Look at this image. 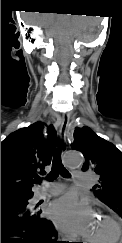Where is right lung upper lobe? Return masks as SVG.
Instances as JSON below:
<instances>
[{
    "mask_svg": "<svg viewBox=\"0 0 122 243\" xmlns=\"http://www.w3.org/2000/svg\"><path fill=\"white\" fill-rule=\"evenodd\" d=\"M44 124L36 122L11 133L1 142V201L33 194V178L37 171L51 163L56 132L47 128L48 139H43Z\"/></svg>",
    "mask_w": 122,
    "mask_h": 243,
    "instance_id": "right-lung-upper-lobe-1",
    "label": "right lung upper lobe"
}]
</instances>
